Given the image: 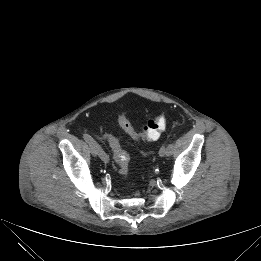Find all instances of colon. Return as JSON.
Here are the masks:
<instances>
[{"label":"colon","instance_id":"5ec220e1","mask_svg":"<svg viewBox=\"0 0 261 261\" xmlns=\"http://www.w3.org/2000/svg\"><path fill=\"white\" fill-rule=\"evenodd\" d=\"M120 127L137 141H151L157 139L165 130L167 119L164 114H159L149 120L140 131H136L130 121L124 116H118ZM108 144L112 150L118 172L122 176H127L129 173V157L122 148L119 140L113 136L108 137Z\"/></svg>","mask_w":261,"mask_h":261}]
</instances>
